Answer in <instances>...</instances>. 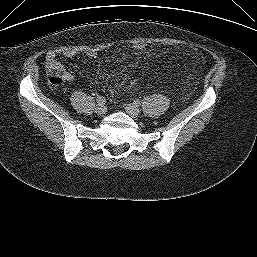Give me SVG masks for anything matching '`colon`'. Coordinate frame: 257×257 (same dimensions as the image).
Instances as JSON below:
<instances>
[{
	"label": "colon",
	"instance_id": "obj_1",
	"mask_svg": "<svg viewBox=\"0 0 257 257\" xmlns=\"http://www.w3.org/2000/svg\"><path fill=\"white\" fill-rule=\"evenodd\" d=\"M147 48V44L143 42H136L132 44V49L137 52L144 51ZM47 73L49 80L54 85H61L67 79V73L63 66L54 61L47 65Z\"/></svg>",
	"mask_w": 257,
	"mask_h": 257
}]
</instances>
